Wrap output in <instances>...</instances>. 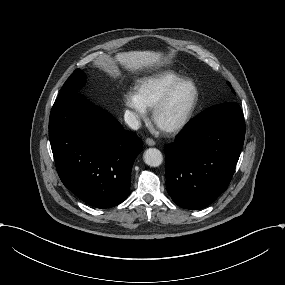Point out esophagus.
<instances>
[{
	"mask_svg": "<svg viewBox=\"0 0 285 285\" xmlns=\"http://www.w3.org/2000/svg\"><path fill=\"white\" fill-rule=\"evenodd\" d=\"M145 142H146V144H147L148 146H154V145L156 144V142H155L154 139H152V138H147V139L145 140Z\"/></svg>",
	"mask_w": 285,
	"mask_h": 285,
	"instance_id": "esophagus-1",
	"label": "esophagus"
}]
</instances>
